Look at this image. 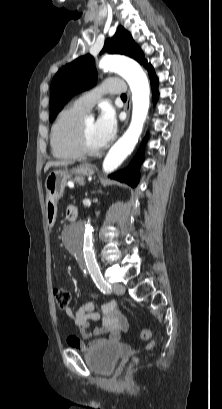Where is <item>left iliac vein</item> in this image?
I'll return each mask as SVG.
<instances>
[{
	"mask_svg": "<svg viewBox=\"0 0 222 409\" xmlns=\"http://www.w3.org/2000/svg\"><path fill=\"white\" fill-rule=\"evenodd\" d=\"M112 291L117 294V295H122L125 292V288L122 284L120 283H114L112 285Z\"/></svg>",
	"mask_w": 222,
	"mask_h": 409,
	"instance_id": "left-iliac-vein-1",
	"label": "left iliac vein"
}]
</instances>
